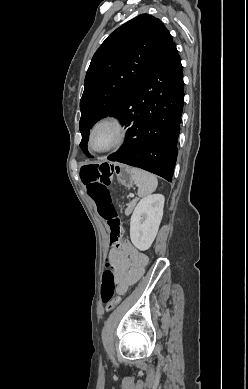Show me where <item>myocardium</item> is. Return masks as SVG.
Masks as SVG:
<instances>
[{
    "mask_svg": "<svg viewBox=\"0 0 248 389\" xmlns=\"http://www.w3.org/2000/svg\"><path fill=\"white\" fill-rule=\"evenodd\" d=\"M104 128H109L112 131V138L105 146L97 147L95 144L97 135L99 131ZM126 136V127L119 118L113 116L104 117L95 122L91 127L89 132L88 145L90 149L97 153H106L122 145L126 139Z\"/></svg>",
    "mask_w": 248,
    "mask_h": 389,
    "instance_id": "1",
    "label": "myocardium"
}]
</instances>
